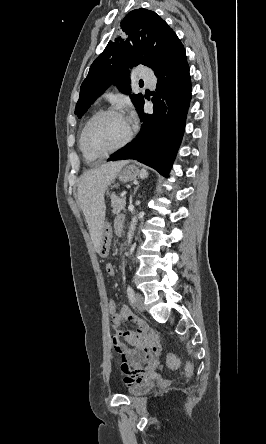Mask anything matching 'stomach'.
<instances>
[{
    "instance_id": "obj_1",
    "label": "stomach",
    "mask_w": 266,
    "mask_h": 444,
    "mask_svg": "<svg viewBox=\"0 0 266 444\" xmlns=\"http://www.w3.org/2000/svg\"><path fill=\"white\" fill-rule=\"evenodd\" d=\"M139 177H144L143 171H140L135 164H128L118 173V178L122 182H129L136 180ZM112 230L108 223H105L102 229V238L100 243L99 253L101 255H107L108 248L111 244ZM106 248V251L104 250Z\"/></svg>"
}]
</instances>
